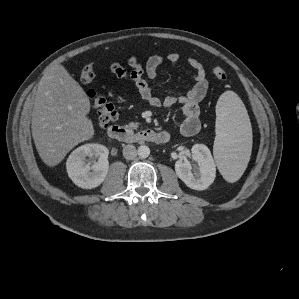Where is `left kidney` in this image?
Returning a JSON list of instances; mask_svg holds the SVG:
<instances>
[{
	"mask_svg": "<svg viewBox=\"0 0 299 299\" xmlns=\"http://www.w3.org/2000/svg\"><path fill=\"white\" fill-rule=\"evenodd\" d=\"M191 153L196 165L191 166L187 159L178 160L175 163V171L189 188L202 191L213 183L216 176V166L206 145L195 144Z\"/></svg>",
	"mask_w": 299,
	"mask_h": 299,
	"instance_id": "obj_1",
	"label": "left kidney"
}]
</instances>
